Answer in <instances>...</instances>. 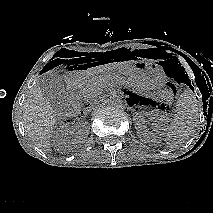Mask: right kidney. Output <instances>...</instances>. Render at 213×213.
<instances>
[{
  "label": "right kidney",
  "instance_id": "obj_1",
  "mask_svg": "<svg viewBox=\"0 0 213 213\" xmlns=\"http://www.w3.org/2000/svg\"><path fill=\"white\" fill-rule=\"evenodd\" d=\"M74 127L77 130V133L79 134V139L82 140L83 142L88 135V130L86 129V123L80 122L79 124H76Z\"/></svg>",
  "mask_w": 213,
  "mask_h": 213
}]
</instances>
